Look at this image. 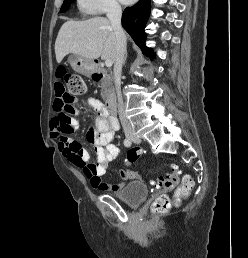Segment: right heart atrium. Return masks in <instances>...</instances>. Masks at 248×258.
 <instances>
[{
	"instance_id": "right-heart-atrium-1",
	"label": "right heart atrium",
	"mask_w": 248,
	"mask_h": 258,
	"mask_svg": "<svg viewBox=\"0 0 248 258\" xmlns=\"http://www.w3.org/2000/svg\"><path fill=\"white\" fill-rule=\"evenodd\" d=\"M78 8L85 15H99L120 11L118 0H77Z\"/></svg>"
}]
</instances>
